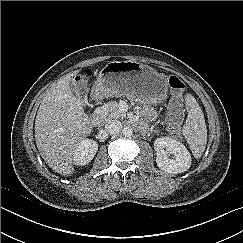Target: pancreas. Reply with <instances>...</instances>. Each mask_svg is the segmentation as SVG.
Here are the masks:
<instances>
[{"instance_id":"cf45deb5","label":"pancreas","mask_w":243,"mask_h":243,"mask_svg":"<svg viewBox=\"0 0 243 243\" xmlns=\"http://www.w3.org/2000/svg\"><path fill=\"white\" fill-rule=\"evenodd\" d=\"M100 110L102 117L107 120L126 116L125 112L120 110L119 103L116 101H109L105 103Z\"/></svg>"}]
</instances>
